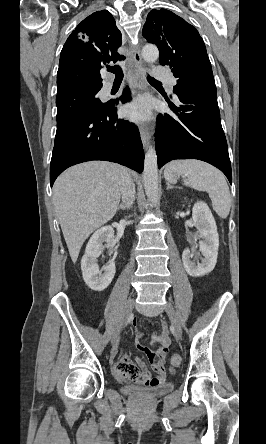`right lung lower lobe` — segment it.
<instances>
[{"label": "right lung lower lobe", "mask_w": 266, "mask_h": 444, "mask_svg": "<svg viewBox=\"0 0 266 444\" xmlns=\"http://www.w3.org/2000/svg\"><path fill=\"white\" fill-rule=\"evenodd\" d=\"M130 98L128 88L120 97ZM117 101L108 102L100 112L76 118L56 131L50 163V183L68 167L91 160L116 162L141 173L144 152L138 128L117 118Z\"/></svg>", "instance_id": "1"}]
</instances>
